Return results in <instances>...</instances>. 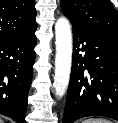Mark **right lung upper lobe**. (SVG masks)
<instances>
[{"label":"right lung upper lobe","instance_id":"obj_1","mask_svg":"<svg viewBox=\"0 0 118 123\" xmlns=\"http://www.w3.org/2000/svg\"><path fill=\"white\" fill-rule=\"evenodd\" d=\"M36 28L34 0H0V41L26 36Z\"/></svg>","mask_w":118,"mask_h":123}]
</instances>
